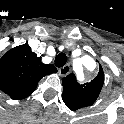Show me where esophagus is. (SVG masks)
Returning a JSON list of instances; mask_svg holds the SVG:
<instances>
[{"mask_svg":"<svg viewBox=\"0 0 124 124\" xmlns=\"http://www.w3.org/2000/svg\"><path fill=\"white\" fill-rule=\"evenodd\" d=\"M70 71H71L70 66L69 65H65V66H63V67H61L59 69V75L61 77H65V76H67L70 73Z\"/></svg>","mask_w":124,"mask_h":124,"instance_id":"1","label":"esophagus"}]
</instances>
